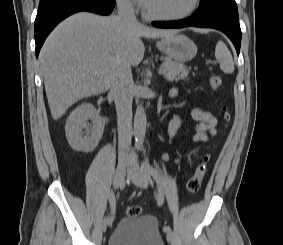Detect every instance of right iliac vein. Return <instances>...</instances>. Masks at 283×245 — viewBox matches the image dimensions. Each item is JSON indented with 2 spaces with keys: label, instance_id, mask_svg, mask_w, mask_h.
I'll return each mask as SVG.
<instances>
[{
  "label": "right iliac vein",
  "instance_id": "right-iliac-vein-1",
  "mask_svg": "<svg viewBox=\"0 0 283 245\" xmlns=\"http://www.w3.org/2000/svg\"><path fill=\"white\" fill-rule=\"evenodd\" d=\"M128 165L127 159H121L118 163L115 175H114V187L115 189L119 188L123 182L124 176H125V170L126 166ZM111 219L109 217H106L101 225L102 231L106 232L107 227L111 224Z\"/></svg>",
  "mask_w": 283,
  "mask_h": 245
}]
</instances>
